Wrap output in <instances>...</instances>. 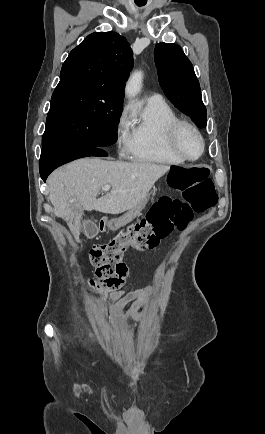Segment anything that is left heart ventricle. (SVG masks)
I'll return each instance as SVG.
<instances>
[{
    "label": "left heart ventricle",
    "instance_id": "b2bd125f",
    "mask_svg": "<svg viewBox=\"0 0 265 434\" xmlns=\"http://www.w3.org/2000/svg\"><path fill=\"white\" fill-rule=\"evenodd\" d=\"M180 147L183 154L189 158H195L201 152V144L199 139L193 132L189 130H186L180 136Z\"/></svg>",
    "mask_w": 265,
    "mask_h": 434
}]
</instances>
